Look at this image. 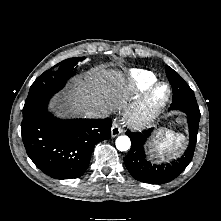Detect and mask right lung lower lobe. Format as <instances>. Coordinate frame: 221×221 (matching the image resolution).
<instances>
[{
  "label": "right lung lower lobe",
  "mask_w": 221,
  "mask_h": 221,
  "mask_svg": "<svg viewBox=\"0 0 221 221\" xmlns=\"http://www.w3.org/2000/svg\"><path fill=\"white\" fill-rule=\"evenodd\" d=\"M47 107L48 103L23 117L22 139L27 154L53 178H79L88 168L95 144L110 139L112 120H61Z\"/></svg>",
  "instance_id": "98d812e1"
}]
</instances>
